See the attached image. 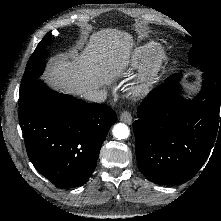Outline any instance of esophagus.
Here are the masks:
<instances>
[{"instance_id":"obj_1","label":"esophagus","mask_w":221,"mask_h":221,"mask_svg":"<svg viewBox=\"0 0 221 221\" xmlns=\"http://www.w3.org/2000/svg\"><path fill=\"white\" fill-rule=\"evenodd\" d=\"M120 120L126 124H131L132 122V115L128 111H124L120 115Z\"/></svg>"}]
</instances>
